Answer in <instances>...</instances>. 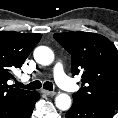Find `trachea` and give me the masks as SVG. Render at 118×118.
<instances>
[{
  "mask_svg": "<svg viewBox=\"0 0 118 118\" xmlns=\"http://www.w3.org/2000/svg\"><path fill=\"white\" fill-rule=\"evenodd\" d=\"M16 85L18 87H21V88H24V89H29V90L39 89V88L42 87V83L40 81H34V82H31L28 85H24L20 82H16ZM43 88L46 89V90L52 91L53 90V84L51 82L47 81L43 84Z\"/></svg>",
  "mask_w": 118,
  "mask_h": 118,
  "instance_id": "obj_1",
  "label": "trachea"
}]
</instances>
